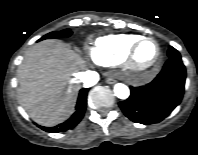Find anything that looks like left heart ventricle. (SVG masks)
Listing matches in <instances>:
<instances>
[{
  "mask_svg": "<svg viewBox=\"0 0 198 155\" xmlns=\"http://www.w3.org/2000/svg\"><path fill=\"white\" fill-rule=\"evenodd\" d=\"M156 55V46L153 42H144L138 49L137 59L141 64H148Z\"/></svg>",
  "mask_w": 198,
  "mask_h": 155,
  "instance_id": "left-heart-ventricle-1",
  "label": "left heart ventricle"
}]
</instances>
